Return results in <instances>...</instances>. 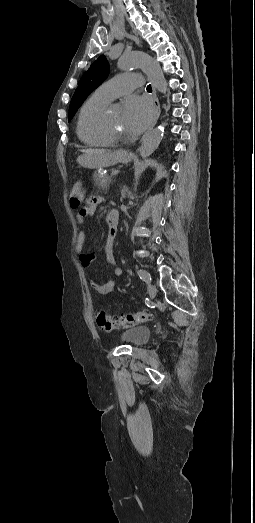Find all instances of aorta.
Returning a JSON list of instances; mask_svg holds the SVG:
<instances>
[{
    "label": "aorta",
    "instance_id": "762f6f07",
    "mask_svg": "<svg viewBox=\"0 0 255 523\" xmlns=\"http://www.w3.org/2000/svg\"><path fill=\"white\" fill-rule=\"evenodd\" d=\"M118 67L123 71L142 69L159 92L163 94L167 92L168 84L163 71L159 63L148 54L139 51L126 53L118 60ZM163 135V126H158L148 133L141 143L140 156L143 158L150 156L158 148Z\"/></svg>",
    "mask_w": 255,
    "mask_h": 523
}]
</instances>
